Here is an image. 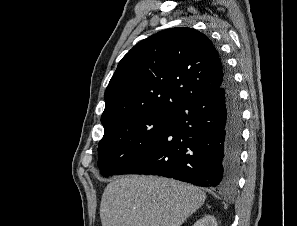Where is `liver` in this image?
<instances>
[{
    "instance_id": "liver-1",
    "label": "liver",
    "mask_w": 297,
    "mask_h": 226,
    "mask_svg": "<svg viewBox=\"0 0 297 226\" xmlns=\"http://www.w3.org/2000/svg\"><path fill=\"white\" fill-rule=\"evenodd\" d=\"M202 189L158 176H122L104 189L102 226H181L205 202Z\"/></svg>"
}]
</instances>
